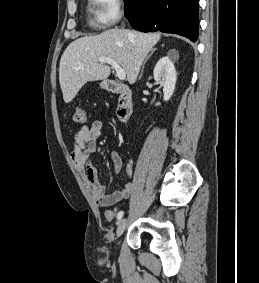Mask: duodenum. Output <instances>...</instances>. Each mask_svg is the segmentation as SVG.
<instances>
[{
	"label": "duodenum",
	"mask_w": 259,
	"mask_h": 283,
	"mask_svg": "<svg viewBox=\"0 0 259 283\" xmlns=\"http://www.w3.org/2000/svg\"><path fill=\"white\" fill-rule=\"evenodd\" d=\"M106 89L112 94L118 95L117 116L121 121H126L132 114V91L123 84L109 80L106 83Z\"/></svg>",
	"instance_id": "1"
}]
</instances>
